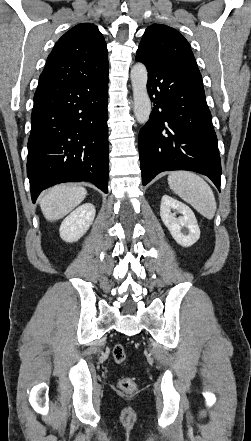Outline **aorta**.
<instances>
[{"instance_id": "762f6f07", "label": "aorta", "mask_w": 251, "mask_h": 441, "mask_svg": "<svg viewBox=\"0 0 251 441\" xmlns=\"http://www.w3.org/2000/svg\"><path fill=\"white\" fill-rule=\"evenodd\" d=\"M134 99V114L140 124H145L150 117L151 101L147 93V70L142 63H136L130 73Z\"/></svg>"}]
</instances>
